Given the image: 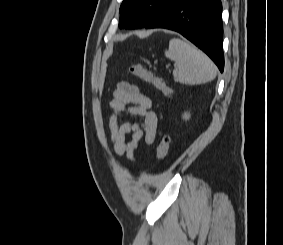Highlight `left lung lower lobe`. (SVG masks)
Masks as SVG:
<instances>
[{"label":"left lung lower lobe","mask_w":283,"mask_h":245,"mask_svg":"<svg viewBox=\"0 0 283 245\" xmlns=\"http://www.w3.org/2000/svg\"><path fill=\"white\" fill-rule=\"evenodd\" d=\"M145 28H166L179 32L203 50L223 72L221 0H173Z\"/></svg>","instance_id":"left-lung-lower-lobe-1"}]
</instances>
